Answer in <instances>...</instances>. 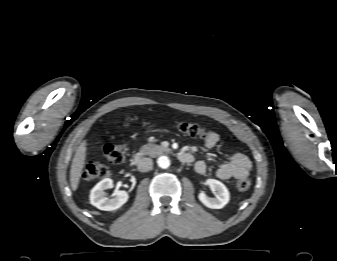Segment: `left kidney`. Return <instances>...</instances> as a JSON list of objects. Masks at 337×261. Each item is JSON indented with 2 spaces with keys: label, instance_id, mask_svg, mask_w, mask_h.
I'll use <instances>...</instances> for the list:
<instances>
[{
  "label": "left kidney",
  "instance_id": "1",
  "mask_svg": "<svg viewBox=\"0 0 337 261\" xmlns=\"http://www.w3.org/2000/svg\"><path fill=\"white\" fill-rule=\"evenodd\" d=\"M211 189L216 191L215 198L207 196L204 192L199 193V200L208 208L221 209L230 200V193L227 187L216 179H207L205 182Z\"/></svg>",
  "mask_w": 337,
  "mask_h": 261
}]
</instances>
